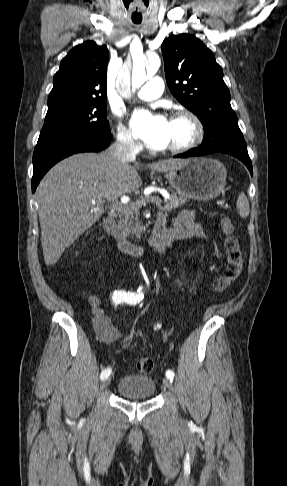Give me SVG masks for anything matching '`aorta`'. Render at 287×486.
Wrapping results in <instances>:
<instances>
[{
	"label": "aorta",
	"instance_id": "aorta-1",
	"mask_svg": "<svg viewBox=\"0 0 287 486\" xmlns=\"http://www.w3.org/2000/svg\"><path fill=\"white\" fill-rule=\"evenodd\" d=\"M160 64L161 62L158 57H153L149 60V63L146 65V70L145 63L143 61L135 63L133 65L131 80H128L125 73H123L117 80V90L123 96H127L130 87L132 88L133 92L136 89H139L146 79L156 74Z\"/></svg>",
	"mask_w": 287,
	"mask_h": 486
}]
</instances>
